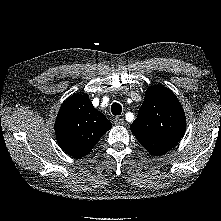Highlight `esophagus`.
<instances>
[{
  "instance_id": "esophagus-1",
  "label": "esophagus",
  "mask_w": 221,
  "mask_h": 221,
  "mask_svg": "<svg viewBox=\"0 0 221 221\" xmlns=\"http://www.w3.org/2000/svg\"><path fill=\"white\" fill-rule=\"evenodd\" d=\"M114 123H115V125H123L124 124V119L121 118V117H116L114 119Z\"/></svg>"
}]
</instances>
